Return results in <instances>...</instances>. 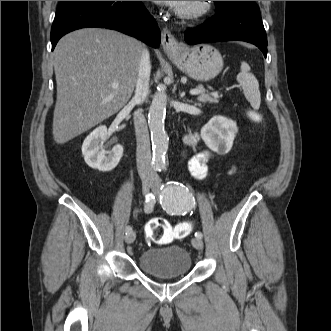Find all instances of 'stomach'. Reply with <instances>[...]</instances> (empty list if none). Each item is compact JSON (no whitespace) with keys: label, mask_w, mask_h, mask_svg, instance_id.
I'll use <instances>...</instances> for the list:
<instances>
[{"label":"stomach","mask_w":331,"mask_h":331,"mask_svg":"<svg viewBox=\"0 0 331 331\" xmlns=\"http://www.w3.org/2000/svg\"><path fill=\"white\" fill-rule=\"evenodd\" d=\"M170 58L182 72L202 82L215 78L223 68L220 52L209 44L181 47Z\"/></svg>","instance_id":"stomach-1"}]
</instances>
